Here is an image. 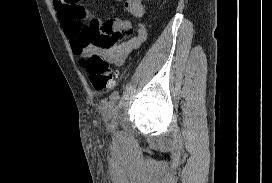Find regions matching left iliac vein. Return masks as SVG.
Segmentation results:
<instances>
[{"mask_svg":"<svg viewBox=\"0 0 272 183\" xmlns=\"http://www.w3.org/2000/svg\"><path fill=\"white\" fill-rule=\"evenodd\" d=\"M104 119L110 130L114 131L116 129V108L114 102L110 101L105 106Z\"/></svg>","mask_w":272,"mask_h":183,"instance_id":"left-iliac-vein-1","label":"left iliac vein"}]
</instances>
